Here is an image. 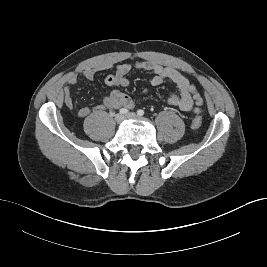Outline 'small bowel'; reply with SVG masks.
Returning a JSON list of instances; mask_svg holds the SVG:
<instances>
[{"label": "small bowel", "instance_id": "small-bowel-1", "mask_svg": "<svg viewBox=\"0 0 267 267\" xmlns=\"http://www.w3.org/2000/svg\"><path fill=\"white\" fill-rule=\"evenodd\" d=\"M134 69L151 73L150 84L152 86H158L167 80L176 84L179 94H170L167 99V103L171 107L185 112H201L203 100L196 87L188 78L174 68L164 67L152 61H142L134 64H110L100 68L85 69L82 72V76L87 80H93L97 72L101 70H112L105 78V84L112 88V90L104 97L101 104L94 107L93 111L113 110L120 107L133 108L134 104L132 99L117 88L127 87L129 85L127 75ZM77 80L78 77L75 74L69 76L66 80V86L63 91V102L68 109L74 107L71 88L77 83ZM90 113L91 109L87 106L78 109V116L81 118L87 117Z\"/></svg>", "mask_w": 267, "mask_h": 267}]
</instances>
